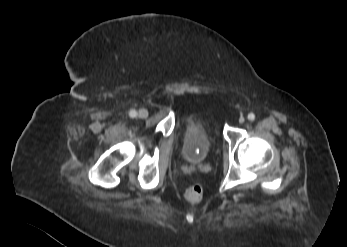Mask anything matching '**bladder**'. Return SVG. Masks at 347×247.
Masks as SVG:
<instances>
[{"instance_id": "1", "label": "bladder", "mask_w": 347, "mask_h": 247, "mask_svg": "<svg viewBox=\"0 0 347 247\" xmlns=\"http://www.w3.org/2000/svg\"><path fill=\"white\" fill-rule=\"evenodd\" d=\"M181 124L183 158L189 163H203L216 141L214 118L206 112H190Z\"/></svg>"}]
</instances>
